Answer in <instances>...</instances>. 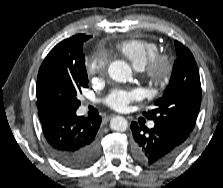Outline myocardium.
I'll use <instances>...</instances> for the list:
<instances>
[{
  "instance_id": "f54148a6",
  "label": "myocardium",
  "mask_w": 223,
  "mask_h": 188,
  "mask_svg": "<svg viewBox=\"0 0 223 188\" xmlns=\"http://www.w3.org/2000/svg\"><path fill=\"white\" fill-rule=\"evenodd\" d=\"M145 77L155 85H164L170 80L173 70V60L165 54H157L143 68Z\"/></svg>"
}]
</instances>
